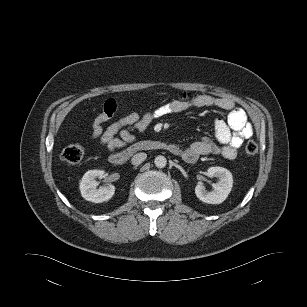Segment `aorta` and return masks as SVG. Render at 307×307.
<instances>
[{
	"label": "aorta",
	"instance_id": "1",
	"mask_svg": "<svg viewBox=\"0 0 307 307\" xmlns=\"http://www.w3.org/2000/svg\"><path fill=\"white\" fill-rule=\"evenodd\" d=\"M154 164L157 168H164L167 164V159L164 156L159 155L155 158Z\"/></svg>",
	"mask_w": 307,
	"mask_h": 307
}]
</instances>
